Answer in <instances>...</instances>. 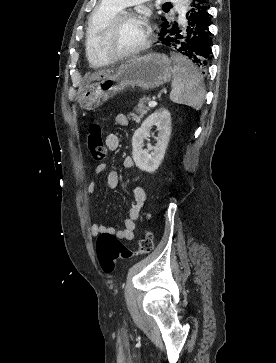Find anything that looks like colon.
<instances>
[{"mask_svg": "<svg viewBox=\"0 0 276 363\" xmlns=\"http://www.w3.org/2000/svg\"><path fill=\"white\" fill-rule=\"evenodd\" d=\"M88 150L95 161H103L107 155V149L103 139V129L97 122L88 127ZM150 218L146 216V221ZM97 256L101 268L106 273H111L118 259H130L136 256L149 254L153 250V234L147 222L144 225V233L139 241L137 249L125 246L119 239L109 233H101L96 242Z\"/></svg>", "mask_w": 276, "mask_h": 363, "instance_id": "obj_1", "label": "colon"}]
</instances>
